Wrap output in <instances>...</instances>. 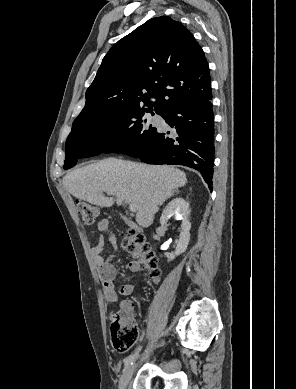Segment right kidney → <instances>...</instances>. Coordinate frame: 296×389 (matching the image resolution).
Listing matches in <instances>:
<instances>
[{"label": "right kidney", "instance_id": "right-kidney-1", "mask_svg": "<svg viewBox=\"0 0 296 389\" xmlns=\"http://www.w3.org/2000/svg\"><path fill=\"white\" fill-rule=\"evenodd\" d=\"M190 214V206L187 201L182 198L171 200L164 208L160 217V224L167 226L169 219L175 216L177 220H182L180 237L177 241L176 250L174 253L167 254L168 262L174 260L177 256L186 251L190 241L191 223L188 220Z\"/></svg>", "mask_w": 296, "mask_h": 389}]
</instances>
